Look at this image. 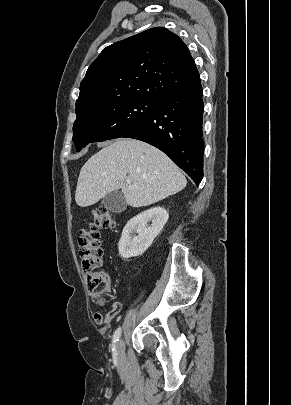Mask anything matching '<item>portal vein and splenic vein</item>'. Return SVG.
Segmentation results:
<instances>
[{
	"instance_id": "18ae733b",
	"label": "portal vein and splenic vein",
	"mask_w": 291,
	"mask_h": 405,
	"mask_svg": "<svg viewBox=\"0 0 291 405\" xmlns=\"http://www.w3.org/2000/svg\"><path fill=\"white\" fill-rule=\"evenodd\" d=\"M126 182H127V184H128L130 187H134V185L131 184V180H130V179H127Z\"/></svg>"
}]
</instances>
